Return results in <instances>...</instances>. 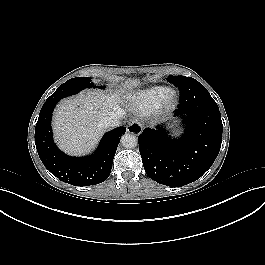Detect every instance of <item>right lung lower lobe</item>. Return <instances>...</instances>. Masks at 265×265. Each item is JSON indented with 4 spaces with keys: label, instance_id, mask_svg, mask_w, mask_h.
Masks as SVG:
<instances>
[{
    "label": "right lung lower lobe",
    "instance_id": "right-lung-lower-lobe-1",
    "mask_svg": "<svg viewBox=\"0 0 265 265\" xmlns=\"http://www.w3.org/2000/svg\"><path fill=\"white\" fill-rule=\"evenodd\" d=\"M58 101H46L35 128V144L44 166L59 180L74 186L96 185L105 181L111 172L113 158L125 127L104 135L94 154L86 157L65 155L55 145L51 130L52 112Z\"/></svg>",
    "mask_w": 265,
    "mask_h": 265
}]
</instances>
